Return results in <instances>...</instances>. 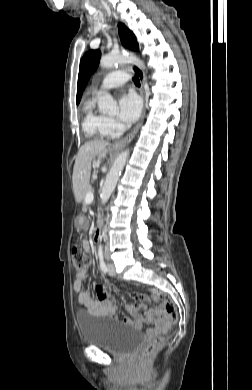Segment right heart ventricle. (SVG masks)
<instances>
[{"label":"right heart ventricle","mask_w":252,"mask_h":390,"mask_svg":"<svg viewBox=\"0 0 252 390\" xmlns=\"http://www.w3.org/2000/svg\"><path fill=\"white\" fill-rule=\"evenodd\" d=\"M105 116L95 110L94 101L89 100L83 108L82 128L86 135L92 139H103L110 134L105 130Z\"/></svg>","instance_id":"e07e8e85"}]
</instances>
